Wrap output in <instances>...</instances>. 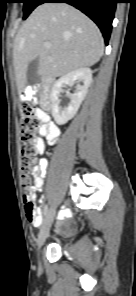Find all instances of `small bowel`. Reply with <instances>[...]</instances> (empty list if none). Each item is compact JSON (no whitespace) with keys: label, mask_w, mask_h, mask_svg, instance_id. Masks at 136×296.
I'll list each match as a JSON object with an SVG mask.
<instances>
[{"label":"small bowel","mask_w":136,"mask_h":296,"mask_svg":"<svg viewBox=\"0 0 136 296\" xmlns=\"http://www.w3.org/2000/svg\"><path fill=\"white\" fill-rule=\"evenodd\" d=\"M27 90H28L27 92H30V88H27ZM38 117L42 121V125L39 128L40 138L37 139V145H38V154L42 155L45 151V142L42 138H45L49 144H54L60 135V130L54 123L50 122V117L45 112L39 111ZM45 166H46V162L41 161L40 175H38L35 179L34 188L39 191L43 189L44 181H43L42 171ZM38 213H39V220L32 222L34 226H39L42 223V219H43L42 213L41 212H38ZM67 214L68 212L66 211L62 215V217L66 216Z\"/></svg>","instance_id":"c3829d8e"}]
</instances>
